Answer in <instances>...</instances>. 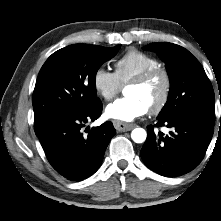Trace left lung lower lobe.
<instances>
[{
	"label": "left lung lower lobe",
	"mask_w": 221,
	"mask_h": 221,
	"mask_svg": "<svg viewBox=\"0 0 221 221\" xmlns=\"http://www.w3.org/2000/svg\"><path fill=\"white\" fill-rule=\"evenodd\" d=\"M157 119V127L166 125L175 131L163 136L161 132L155 133L152 125L148 126L147 139L140 152L145 165L166 177L192 171L206 153L214 123L191 113Z\"/></svg>",
	"instance_id": "1"
}]
</instances>
